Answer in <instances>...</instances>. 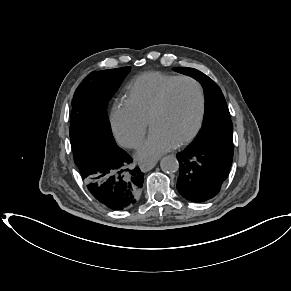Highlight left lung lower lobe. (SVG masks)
<instances>
[{"instance_id":"left-lung-lower-lobe-1","label":"left lung lower lobe","mask_w":291,"mask_h":291,"mask_svg":"<svg viewBox=\"0 0 291 291\" xmlns=\"http://www.w3.org/2000/svg\"><path fill=\"white\" fill-rule=\"evenodd\" d=\"M177 190L188 201L201 203L214 198L228 177L233 152L214 147L187 146L177 154Z\"/></svg>"}]
</instances>
